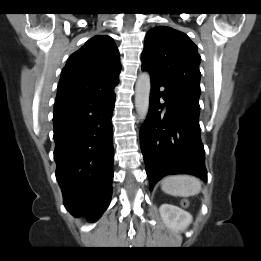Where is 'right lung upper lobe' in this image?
Returning <instances> with one entry per match:
<instances>
[{
  "mask_svg": "<svg viewBox=\"0 0 261 261\" xmlns=\"http://www.w3.org/2000/svg\"><path fill=\"white\" fill-rule=\"evenodd\" d=\"M119 51L109 36H95L74 52L62 70L56 100L114 88L120 73Z\"/></svg>",
  "mask_w": 261,
  "mask_h": 261,
  "instance_id": "right-lung-upper-lobe-1",
  "label": "right lung upper lobe"
}]
</instances>
